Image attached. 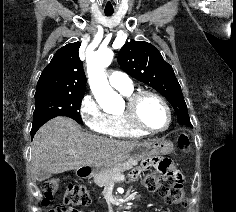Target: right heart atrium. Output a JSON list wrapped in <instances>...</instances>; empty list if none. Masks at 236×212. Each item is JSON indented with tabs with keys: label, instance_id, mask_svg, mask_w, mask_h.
Here are the masks:
<instances>
[{
	"label": "right heart atrium",
	"instance_id": "obj_1",
	"mask_svg": "<svg viewBox=\"0 0 236 212\" xmlns=\"http://www.w3.org/2000/svg\"><path fill=\"white\" fill-rule=\"evenodd\" d=\"M79 111L82 121L90 129L98 133H105L107 115L100 109L91 95L88 94L82 98Z\"/></svg>",
	"mask_w": 236,
	"mask_h": 212
}]
</instances>
